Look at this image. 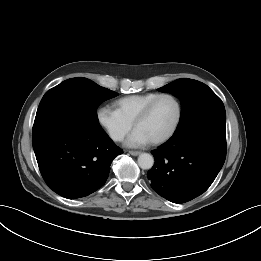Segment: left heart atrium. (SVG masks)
Wrapping results in <instances>:
<instances>
[{
    "label": "left heart atrium",
    "instance_id": "1",
    "mask_svg": "<svg viewBox=\"0 0 261 261\" xmlns=\"http://www.w3.org/2000/svg\"><path fill=\"white\" fill-rule=\"evenodd\" d=\"M151 143V140L140 130L134 129L125 141L127 147H142Z\"/></svg>",
    "mask_w": 261,
    "mask_h": 261
}]
</instances>
